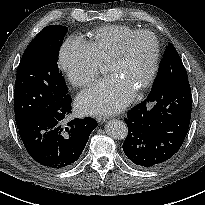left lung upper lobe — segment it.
Instances as JSON below:
<instances>
[{
    "mask_svg": "<svg viewBox=\"0 0 205 205\" xmlns=\"http://www.w3.org/2000/svg\"><path fill=\"white\" fill-rule=\"evenodd\" d=\"M185 77H187V72L182 60L174 46L169 43L151 90L165 87L175 80Z\"/></svg>",
    "mask_w": 205,
    "mask_h": 205,
    "instance_id": "obj_1",
    "label": "left lung upper lobe"
}]
</instances>
